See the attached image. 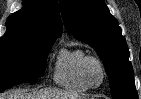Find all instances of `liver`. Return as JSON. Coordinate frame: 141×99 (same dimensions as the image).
Returning <instances> with one entry per match:
<instances>
[{"label":"liver","instance_id":"6515ba94","mask_svg":"<svg viewBox=\"0 0 141 99\" xmlns=\"http://www.w3.org/2000/svg\"><path fill=\"white\" fill-rule=\"evenodd\" d=\"M78 95L68 92L45 88L33 93H25L23 90H17L9 94L0 95V99H80Z\"/></svg>","mask_w":141,"mask_h":99}]
</instances>
